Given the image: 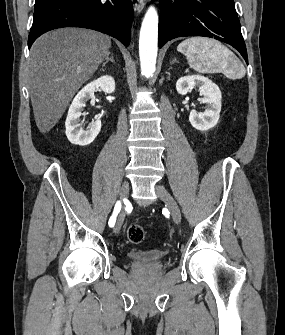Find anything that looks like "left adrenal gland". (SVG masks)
I'll list each match as a JSON object with an SVG mask.
<instances>
[{"instance_id":"obj_1","label":"left adrenal gland","mask_w":285,"mask_h":335,"mask_svg":"<svg viewBox=\"0 0 285 335\" xmlns=\"http://www.w3.org/2000/svg\"><path fill=\"white\" fill-rule=\"evenodd\" d=\"M174 62H177L176 58H174V60H172V62H170V66H171V64H174ZM177 64H179V62H177Z\"/></svg>"}]
</instances>
